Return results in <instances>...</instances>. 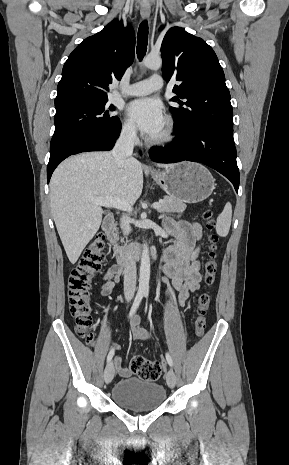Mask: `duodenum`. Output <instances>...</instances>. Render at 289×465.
I'll return each instance as SVG.
<instances>
[{
	"mask_svg": "<svg viewBox=\"0 0 289 465\" xmlns=\"http://www.w3.org/2000/svg\"><path fill=\"white\" fill-rule=\"evenodd\" d=\"M103 229L106 234L107 240L111 246L112 254L117 263L120 266L128 265L132 260L139 259L142 254V248L136 247L134 249H128L121 246L117 242V230L114 217L107 215L103 222ZM150 253L153 257H156V251L154 248L150 249Z\"/></svg>",
	"mask_w": 289,
	"mask_h": 465,
	"instance_id": "410a0bca",
	"label": "duodenum"
}]
</instances>
